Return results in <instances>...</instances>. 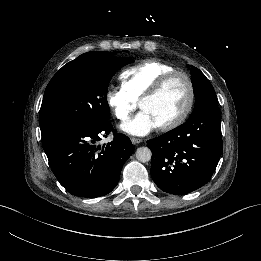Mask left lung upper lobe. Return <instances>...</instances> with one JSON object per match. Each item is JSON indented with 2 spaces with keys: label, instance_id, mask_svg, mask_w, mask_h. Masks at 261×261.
Listing matches in <instances>:
<instances>
[{
  "label": "left lung upper lobe",
  "instance_id": "left-lung-upper-lobe-1",
  "mask_svg": "<svg viewBox=\"0 0 261 261\" xmlns=\"http://www.w3.org/2000/svg\"><path fill=\"white\" fill-rule=\"evenodd\" d=\"M187 68L191 71L195 95V106L190 117L195 116L204 110H218L216 94L211 83L198 68L189 65H187Z\"/></svg>",
  "mask_w": 261,
  "mask_h": 261
}]
</instances>
